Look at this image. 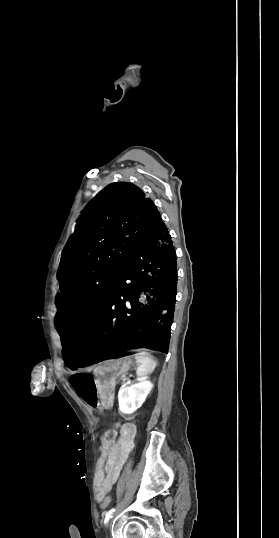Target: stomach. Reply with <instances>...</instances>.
Wrapping results in <instances>:
<instances>
[{"instance_id": "stomach-1", "label": "stomach", "mask_w": 279, "mask_h": 538, "mask_svg": "<svg viewBox=\"0 0 279 538\" xmlns=\"http://www.w3.org/2000/svg\"><path fill=\"white\" fill-rule=\"evenodd\" d=\"M129 366L130 360L125 355H120L119 358H106L104 363H97L95 376L98 380V395L102 408L110 407V396L114 390L113 382H119L120 374H125Z\"/></svg>"}]
</instances>
